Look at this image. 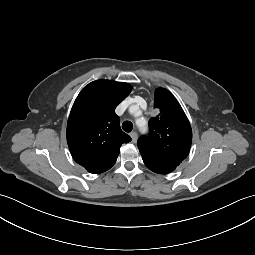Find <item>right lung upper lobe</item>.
Listing matches in <instances>:
<instances>
[{"label":"right lung upper lobe","mask_w":255,"mask_h":255,"mask_svg":"<svg viewBox=\"0 0 255 255\" xmlns=\"http://www.w3.org/2000/svg\"><path fill=\"white\" fill-rule=\"evenodd\" d=\"M131 89L127 83L102 79L89 83L76 98L68 119L67 143L73 159L88 172L110 169L121 145L131 141L114 112Z\"/></svg>","instance_id":"right-lung-upper-lobe-1"}]
</instances>
